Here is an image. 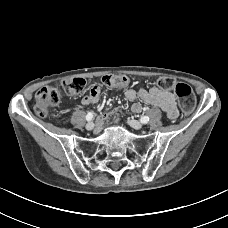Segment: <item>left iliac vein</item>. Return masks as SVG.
<instances>
[{"label":"left iliac vein","instance_id":"4c4485c4","mask_svg":"<svg viewBox=\"0 0 228 228\" xmlns=\"http://www.w3.org/2000/svg\"><path fill=\"white\" fill-rule=\"evenodd\" d=\"M127 122L132 128L137 129V130H139L143 127L142 123H140L139 121H136V120H128Z\"/></svg>","mask_w":228,"mask_h":228}]
</instances>
